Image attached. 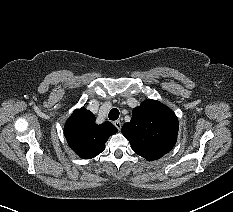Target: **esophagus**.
I'll return each mask as SVG.
<instances>
[{
    "instance_id": "34e87169",
    "label": "esophagus",
    "mask_w": 233,
    "mask_h": 212,
    "mask_svg": "<svg viewBox=\"0 0 233 212\" xmlns=\"http://www.w3.org/2000/svg\"><path fill=\"white\" fill-rule=\"evenodd\" d=\"M113 124L118 130H120L122 127V124L119 120L114 121Z\"/></svg>"
}]
</instances>
